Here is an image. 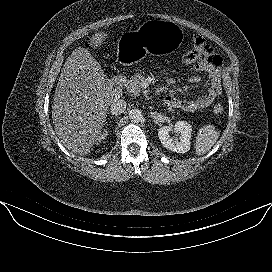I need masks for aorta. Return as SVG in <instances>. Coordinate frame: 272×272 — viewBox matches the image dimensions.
<instances>
[{
    "mask_svg": "<svg viewBox=\"0 0 272 272\" xmlns=\"http://www.w3.org/2000/svg\"><path fill=\"white\" fill-rule=\"evenodd\" d=\"M129 118L134 123L141 122L143 120L142 111L138 108H134V109L130 110Z\"/></svg>",
    "mask_w": 272,
    "mask_h": 272,
    "instance_id": "762f6f07",
    "label": "aorta"
}]
</instances>
